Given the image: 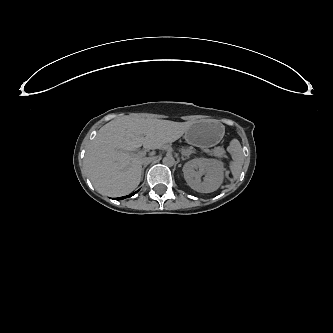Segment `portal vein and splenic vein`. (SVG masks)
Segmentation results:
<instances>
[{
    "label": "portal vein and splenic vein",
    "instance_id": "obj_1",
    "mask_svg": "<svg viewBox=\"0 0 333 333\" xmlns=\"http://www.w3.org/2000/svg\"><path fill=\"white\" fill-rule=\"evenodd\" d=\"M136 155L139 156V157H144L146 155V152L145 151H139Z\"/></svg>",
    "mask_w": 333,
    "mask_h": 333
}]
</instances>
